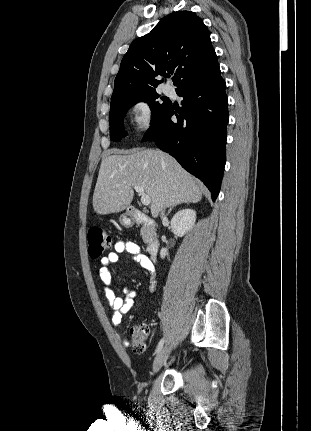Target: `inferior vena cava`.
Returning a JSON list of instances; mask_svg holds the SVG:
<instances>
[{"instance_id":"inferior-vena-cava-1","label":"inferior vena cava","mask_w":311,"mask_h":431,"mask_svg":"<svg viewBox=\"0 0 311 431\" xmlns=\"http://www.w3.org/2000/svg\"><path fill=\"white\" fill-rule=\"evenodd\" d=\"M160 217H162V219H164V217H166L165 216V208H163V210H161Z\"/></svg>"}]
</instances>
